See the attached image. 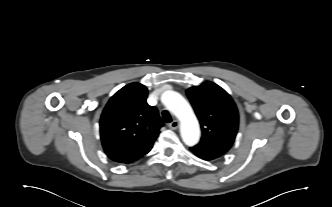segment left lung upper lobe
<instances>
[{"label": "left lung upper lobe", "mask_w": 332, "mask_h": 207, "mask_svg": "<svg viewBox=\"0 0 332 207\" xmlns=\"http://www.w3.org/2000/svg\"><path fill=\"white\" fill-rule=\"evenodd\" d=\"M186 93L202 130L201 140L193 148L217 156L225 154L235 140L239 125L234 101L224 89L210 81L193 86Z\"/></svg>", "instance_id": "left-lung-upper-lobe-1"}]
</instances>
